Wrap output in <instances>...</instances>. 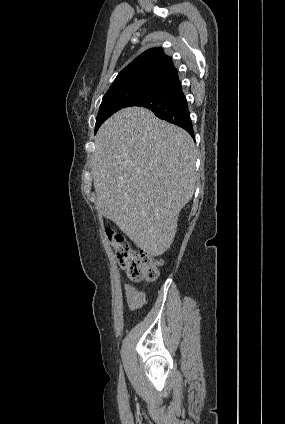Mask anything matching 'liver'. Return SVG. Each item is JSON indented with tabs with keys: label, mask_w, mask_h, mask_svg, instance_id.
Masks as SVG:
<instances>
[{
	"label": "liver",
	"mask_w": 285,
	"mask_h": 424,
	"mask_svg": "<svg viewBox=\"0 0 285 424\" xmlns=\"http://www.w3.org/2000/svg\"><path fill=\"white\" fill-rule=\"evenodd\" d=\"M97 206L135 245L163 254L195 191V144L182 128L142 107L107 119L94 139Z\"/></svg>",
	"instance_id": "liver-1"
}]
</instances>
